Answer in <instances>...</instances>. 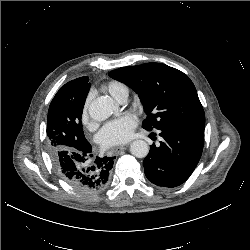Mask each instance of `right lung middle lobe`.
Wrapping results in <instances>:
<instances>
[{"instance_id":"dd1d6c3e","label":"right lung middle lobe","mask_w":250,"mask_h":250,"mask_svg":"<svg viewBox=\"0 0 250 250\" xmlns=\"http://www.w3.org/2000/svg\"><path fill=\"white\" fill-rule=\"evenodd\" d=\"M89 79L77 90L73 100L69 96L56 93L53 98L47 120V144L51 155L61 150L80 151L90 143L86 140L82 129L83 106L90 89Z\"/></svg>"}]
</instances>
